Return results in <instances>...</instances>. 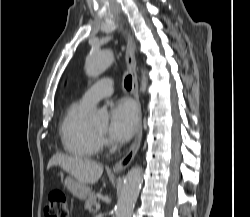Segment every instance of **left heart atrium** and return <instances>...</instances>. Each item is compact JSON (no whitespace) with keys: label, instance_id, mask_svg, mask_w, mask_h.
<instances>
[{"label":"left heart atrium","instance_id":"1","mask_svg":"<svg viewBox=\"0 0 250 217\" xmlns=\"http://www.w3.org/2000/svg\"><path fill=\"white\" fill-rule=\"evenodd\" d=\"M139 125V112L135 104L129 99L114 102L110 109L108 132L116 142L129 140Z\"/></svg>","mask_w":250,"mask_h":217}]
</instances>
